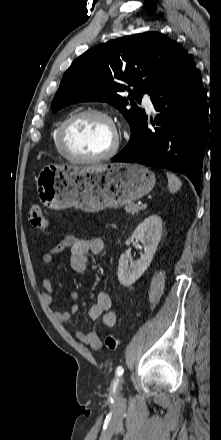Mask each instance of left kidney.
Returning <instances> with one entry per match:
<instances>
[{"label": "left kidney", "instance_id": "left-kidney-1", "mask_svg": "<svg viewBox=\"0 0 221 440\" xmlns=\"http://www.w3.org/2000/svg\"><path fill=\"white\" fill-rule=\"evenodd\" d=\"M162 236V219L151 215L144 219L133 231L126 245L135 239L144 246V255L137 261H132L130 256L122 254L118 265V280L123 286H131L150 266Z\"/></svg>", "mask_w": 221, "mask_h": 440}]
</instances>
